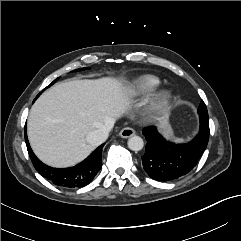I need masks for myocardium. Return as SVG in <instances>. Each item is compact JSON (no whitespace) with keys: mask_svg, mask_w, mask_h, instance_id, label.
Wrapping results in <instances>:
<instances>
[{"mask_svg":"<svg viewBox=\"0 0 241 241\" xmlns=\"http://www.w3.org/2000/svg\"><path fill=\"white\" fill-rule=\"evenodd\" d=\"M172 93L168 90H158L149 99V110L155 115L163 114L169 107L172 101Z\"/></svg>","mask_w":241,"mask_h":241,"instance_id":"1","label":"myocardium"}]
</instances>
